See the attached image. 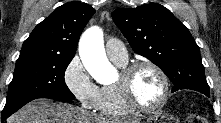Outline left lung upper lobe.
<instances>
[{
	"label": "left lung upper lobe",
	"instance_id": "obj_1",
	"mask_svg": "<svg viewBox=\"0 0 221 123\" xmlns=\"http://www.w3.org/2000/svg\"><path fill=\"white\" fill-rule=\"evenodd\" d=\"M132 49L163 70L172 92L192 89L209 93L198 45L189 30L165 7L146 4L112 13Z\"/></svg>",
	"mask_w": 221,
	"mask_h": 123
}]
</instances>
